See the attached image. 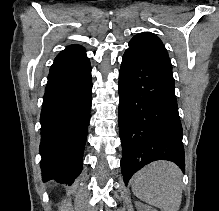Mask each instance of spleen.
Here are the masks:
<instances>
[{
	"label": "spleen",
	"mask_w": 219,
	"mask_h": 211,
	"mask_svg": "<svg viewBox=\"0 0 219 211\" xmlns=\"http://www.w3.org/2000/svg\"><path fill=\"white\" fill-rule=\"evenodd\" d=\"M181 175V169L173 161H153L134 173L132 191L162 211H178L182 199Z\"/></svg>",
	"instance_id": "obj_1"
}]
</instances>
